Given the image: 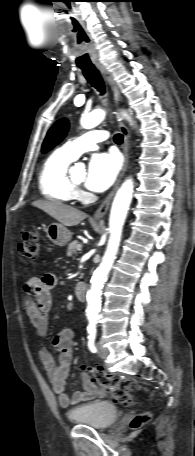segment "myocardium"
Wrapping results in <instances>:
<instances>
[{
  "mask_svg": "<svg viewBox=\"0 0 195 456\" xmlns=\"http://www.w3.org/2000/svg\"><path fill=\"white\" fill-rule=\"evenodd\" d=\"M69 181H70V183L72 184V186H73L74 188H77V187H79V185H80L79 183H76L72 178H69Z\"/></svg>",
  "mask_w": 195,
  "mask_h": 456,
  "instance_id": "f54148a6",
  "label": "myocardium"
}]
</instances>
